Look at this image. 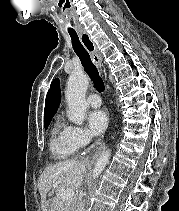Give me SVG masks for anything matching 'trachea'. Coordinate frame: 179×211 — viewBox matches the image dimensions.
Instances as JSON below:
<instances>
[{
  "label": "trachea",
  "instance_id": "obj_1",
  "mask_svg": "<svg viewBox=\"0 0 179 211\" xmlns=\"http://www.w3.org/2000/svg\"><path fill=\"white\" fill-rule=\"evenodd\" d=\"M69 34L71 36L73 49L77 54V56L79 57L84 70L90 76L91 80L94 83L95 88L99 92H102L105 88L104 82L101 79L96 66L93 64L88 51L81 44L78 35L75 31H69Z\"/></svg>",
  "mask_w": 179,
  "mask_h": 211
}]
</instances>
